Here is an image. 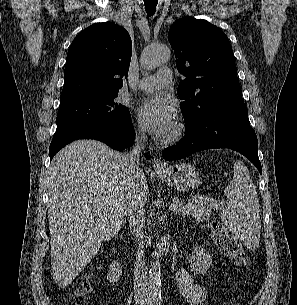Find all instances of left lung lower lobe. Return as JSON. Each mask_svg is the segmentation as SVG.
<instances>
[{
	"label": "left lung lower lobe",
	"mask_w": 297,
	"mask_h": 305,
	"mask_svg": "<svg viewBox=\"0 0 297 305\" xmlns=\"http://www.w3.org/2000/svg\"><path fill=\"white\" fill-rule=\"evenodd\" d=\"M211 148H230L240 152L262 173L257 137L242 97L213 106L202 116L188 122L185 136L177 145L164 150L162 156L171 161Z\"/></svg>",
	"instance_id": "obj_1"
}]
</instances>
